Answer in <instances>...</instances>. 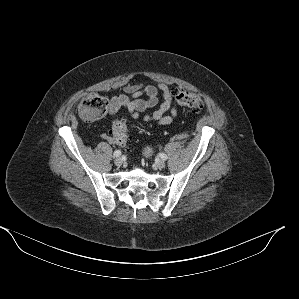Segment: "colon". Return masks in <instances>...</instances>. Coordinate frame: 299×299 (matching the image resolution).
<instances>
[{"label":"colon","instance_id":"obj_1","mask_svg":"<svg viewBox=\"0 0 299 299\" xmlns=\"http://www.w3.org/2000/svg\"><path fill=\"white\" fill-rule=\"evenodd\" d=\"M177 102L186 108L194 111L206 110V103L204 98L197 93L192 92H178L176 94ZM109 104L105 97L89 93L84 95L78 104V113L86 121H96L108 112ZM128 126L126 121L117 120L113 123L112 134L116 142L120 145H125L127 137Z\"/></svg>","mask_w":299,"mask_h":299}]
</instances>
